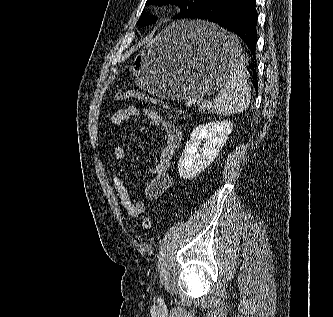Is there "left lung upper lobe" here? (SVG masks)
Here are the masks:
<instances>
[{
    "label": "left lung upper lobe",
    "mask_w": 333,
    "mask_h": 317,
    "mask_svg": "<svg viewBox=\"0 0 333 317\" xmlns=\"http://www.w3.org/2000/svg\"><path fill=\"white\" fill-rule=\"evenodd\" d=\"M212 1L213 0H147L146 5L150 4L164 5L171 3L177 4L181 8V12L178 15L174 16V18H188V16L191 13L200 10L201 8L210 4ZM155 20H156L155 17H150L147 13L143 11L137 24L142 26L149 25L153 23Z\"/></svg>",
    "instance_id": "1"
}]
</instances>
